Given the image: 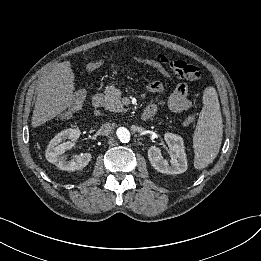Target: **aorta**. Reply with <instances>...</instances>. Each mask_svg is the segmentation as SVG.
Listing matches in <instances>:
<instances>
[{
    "label": "aorta",
    "mask_w": 261,
    "mask_h": 261,
    "mask_svg": "<svg viewBox=\"0 0 261 261\" xmlns=\"http://www.w3.org/2000/svg\"><path fill=\"white\" fill-rule=\"evenodd\" d=\"M116 134H117V137L119 138V140L121 142H128L130 140V132L127 128L125 127H119L117 130H116Z\"/></svg>",
    "instance_id": "aorta-1"
}]
</instances>
